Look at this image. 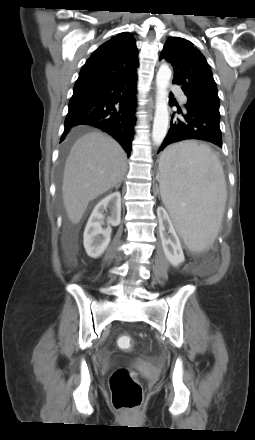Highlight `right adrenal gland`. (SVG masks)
I'll return each mask as SVG.
<instances>
[{
    "mask_svg": "<svg viewBox=\"0 0 255 440\" xmlns=\"http://www.w3.org/2000/svg\"><path fill=\"white\" fill-rule=\"evenodd\" d=\"M121 184H122V181L115 186V189L118 190L119 187L121 186Z\"/></svg>",
    "mask_w": 255,
    "mask_h": 440,
    "instance_id": "1",
    "label": "right adrenal gland"
}]
</instances>
